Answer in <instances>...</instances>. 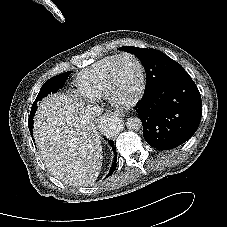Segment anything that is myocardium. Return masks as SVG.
<instances>
[{
  "mask_svg": "<svg viewBox=\"0 0 227 227\" xmlns=\"http://www.w3.org/2000/svg\"><path fill=\"white\" fill-rule=\"evenodd\" d=\"M126 57L132 58L138 65L139 71H140V85H139L138 91L130 100L122 101L117 99L115 96L114 72H115L116 64L121 59ZM145 88H146V71L142 61L133 53L125 52L117 55L114 61L112 62V64L110 65L108 69L107 77H106V97L109 100V102L111 104L118 105V106H124V107L132 106L142 98L145 92Z\"/></svg>",
  "mask_w": 227,
  "mask_h": 227,
  "instance_id": "f54148a6",
  "label": "myocardium"
}]
</instances>
